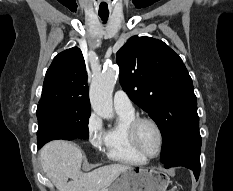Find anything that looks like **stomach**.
Segmentation results:
<instances>
[{"mask_svg":"<svg viewBox=\"0 0 233 191\" xmlns=\"http://www.w3.org/2000/svg\"><path fill=\"white\" fill-rule=\"evenodd\" d=\"M170 178L154 168L129 167L102 191H166Z\"/></svg>","mask_w":233,"mask_h":191,"instance_id":"1","label":"stomach"}]
</instances>
